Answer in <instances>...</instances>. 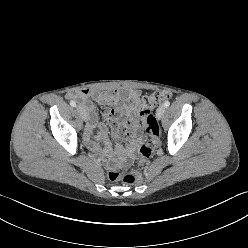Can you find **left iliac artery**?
Wrapping results in <instances>:
<instances>
[{
    "label": "left iliac artery",
    "instance_id": "left-iliac-artery-1",
    "mask_svg": "<svg viewBox=\"0 0 248 248\" xmlns=\"http://www.w3.org/2000/svg\"><path fill=\"white\" fill-rule=\"evenodd\" d=\"M169 105H170V102L169 101H165L164 102V106L167 108V107H169Z\"/></svg>",
    "mask_w": 248,
    "mask_h": 248
}]
</instances>
